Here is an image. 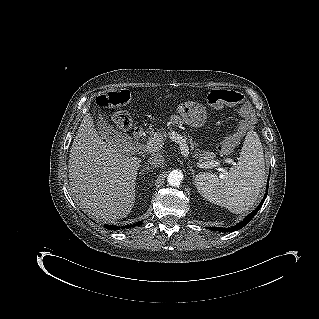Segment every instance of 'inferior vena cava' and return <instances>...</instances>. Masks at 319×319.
<instances>
[{
  "label": "inferior vena cava",
  "instance_id": "1",
  "mask_svg": "<svg viewBox=\"0 0 319 319\" xmlns=\"http://www.w3.org/2000/svg\"><path fill=\"white\" fill-rule=\"evenodd\" d=\"M164 162H165V159L160 153H153L151 155V157H149V159H148V163L152 167H159V166L163 165Z\"/></svg>",
  "mask_w": 319,
  "mask_h": 319
}]
</instances>
